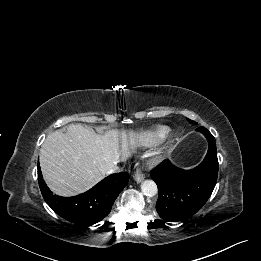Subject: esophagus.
Instances as JSON below:
<instances>
[{"label":"esophagus","mask_w":261,"mask_h":261,"mask_svg":"<svg viewBox=\"0 0 261 261\" xmlns=\"http://www.w3.org/2000/svg\"><path fill=\"white\" fill-rule=\"evenodd\" d=\"M133 178L137 183H140L144 179V174L140 168H137L133 174Z\"/></svg>","instance_id":"34e87169"}]
</instances>
